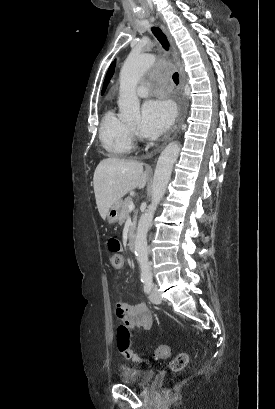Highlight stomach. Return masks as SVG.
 Returning a JSON list of instances; mask_svg holds the SVG:
<instances>
[{
    "instance_id": "1",
    "label": "stomach",
    "mask_w": 275,
    "mask_h": 409,
    "mask_svg": "<svg viewBox=\"0 0 275 409\" xmlns=\"http://www.w3.org/2000/svg\"><path fill=\"white\" fill-rule=\"evenodd\" d=\"M122 209V200L119 198V200H116L114 202V205L110 207L108 213H107V221L110 223V225H113V223H117L119 221V215L121 213Z\"/></svg>"
}]
</instances>
